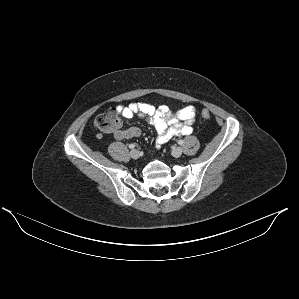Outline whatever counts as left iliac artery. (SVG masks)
<instances>
[{
	"label": "left iliac artery",
	"instance_id": "left-iliac-artery-1",
	"mask_svg": "<svg viewBox=\"0 0 299 299\" xmlns=\"http://www.w3.org/2000/svg\"><path fill=\"white\" fill-rule=\"evenodd\" d=\"M183 143H184L183 140L178 141V144H180V145H182Z\"/></svg>",
	"mask_w": 299,
	"mask_h": 299
}]
</instances>
